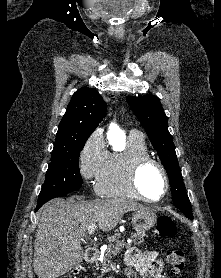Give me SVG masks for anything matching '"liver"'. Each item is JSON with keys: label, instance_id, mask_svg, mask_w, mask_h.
<instances>
[{"label": "liver", "instance_id": "1", "mask_svg": "<svg viewBox=\"0 0 221 278\" xmlns=\"http://www.w3.org/2000/svg\"><path fill=\"white\" fill-rule=\"evenodd\" d=\"M149 209L131 199L93 201L56 199L41 214L35 235L33 267L38 278H58L79 265L80 240L92 223L102 231L114 229L129 211Z\"/></svg>", "mask_w": 221, "mask_h": 278}]
</instances>
